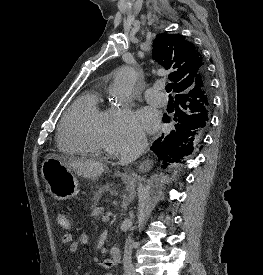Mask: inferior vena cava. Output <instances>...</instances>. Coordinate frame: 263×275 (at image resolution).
Wrapping results in <instances>:
<instances>
[{
  "mask_svg": "<svg viewBox=\"0 0 263 275\" xmlns=\"http://www.w3.org/2000/svg\"><path fill=\"white\" fill-rule=\"evenodd\" d=\"M148 147V141L145 134H139L136 138L123 148L120 154L119 164L128 165L135 161L141 154H143ZM131 190H134V182H131ZM131 219L127 220V228H131ZM134 241L129 235L125 241L124 256H123V269L124 275H136L132 264V249Z\"/></svg>",
  "mask_w": 263,
  "mask_h": 275,
  "instance_id": "1",
  "label": "inferior vena cava"
}]
</instances>
